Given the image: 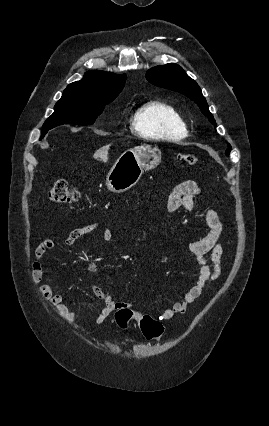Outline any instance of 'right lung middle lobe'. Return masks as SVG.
Segmentation results:
<instances>
[{"mask_svg":"<svg viewBox=\"0 0 269 426\" xmlns=\"http://www.w3.org/2000/svg\"><path fill=\"white\" fill-rule=\"evenodd\" d=\"M114 99V97L63 93L61 99L55 105L54 113L43 124L42 135L44 136L48 130L66 123L93 124L98 115L102 113L105 105Z\"/></svg>","mask_w":269,"mask_h":426,"instance_id":"obj_1","label":"right lung middle lobe"}]
</instances>
